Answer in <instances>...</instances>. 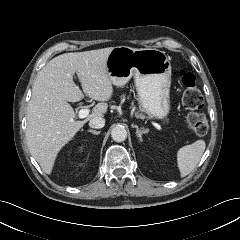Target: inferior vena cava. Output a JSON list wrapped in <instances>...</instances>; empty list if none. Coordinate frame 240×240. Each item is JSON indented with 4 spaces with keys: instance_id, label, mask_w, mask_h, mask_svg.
Instances as JSON below:
<instances>
[{
    "instance_id": "obj_1",
    "label": "inferior vena cava",
    "mask_w": 240,
    "mask_h": 240,
    "mask_svg": "<svg viewBox=\"0 0 240 240\" xmlns=\"http://www.w3.org/2000/svg\"><path fill=\"white\" fill-rule=\"evenodd\" d=\"M105 125V119L102 116H95L90 119L89 126L91 128L100 129Z\"/></svg>"
}]
</instances>
